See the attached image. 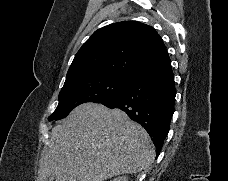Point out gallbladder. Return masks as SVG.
I'll use <instances>...</instances> for the list:
<instances>
[{
  "instance_id": "obj_1",
  "label": "gallbladder",
  "mask_w": 228,
  "mask_h": 181,
  "mask_svg": "<svg viewBox=\"0 0 228 181\" xmlns=\"http://www.w3.org/2000/svg\"><path fill=\"white\" fill-rule=\"evenodd\" d=\"M44 181H55V175H49V177H46Z\"/></svg>"
}]
</instances>
